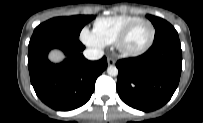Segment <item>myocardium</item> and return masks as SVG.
Returning <instances> with one entry per match:
<instances>
[{
	"label": "myocardium",
	"instance_id": "myocardium-1",
	"mask_svg": "<svg viewBox=\"0 0 203 123\" xmlns=\"http://www.w3.org/2000/svg\"><path fill=\"white\" fill-rule=\"evenodd\" d=\"M139 23H147L150 26L151 37H150L149 41L147 42V44L144 47H142L141 49L128 50L124 47L125 41H126L128 35L130 34V32L132 31V29ZM155 36H156V29H155L154 24L148 19L140 18V19L133 21L129 25H127L121 31V33L116 38L114 45L120 55H122L124 57H136V56H140V55L144 54L151 48V46L153 45V43L155 41Z\"/></svg>",
	"mask_w": 203,
	"mask_h": 123
}]
</instances>
